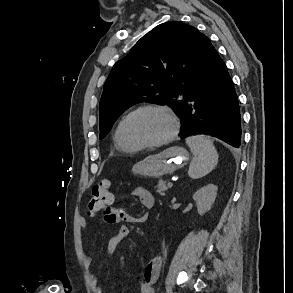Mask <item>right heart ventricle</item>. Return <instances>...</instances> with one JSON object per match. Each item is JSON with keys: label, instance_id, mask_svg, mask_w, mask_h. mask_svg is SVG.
I'll list each match as a JSON object with an SVG mask.
<instances>
[{"label": "right heart ventricle", "instance_id": "right-heart-ventricle-1", "mask_svg": "<svg viewBox=\"0 0 293 293\" xmlns=\"http://www.w3.org/2000/svg\"><path fill=\"white\" fill-rule=\"evenodd\" d=\"M126 116H123L116 124L114 133H113V141L115 147L122 152H134L137 151L138 148L132 147L127 144L124 140L123 136V124Z\"/></svg>", "mask_w": 293, "mask_h": 293}]
</instances>
